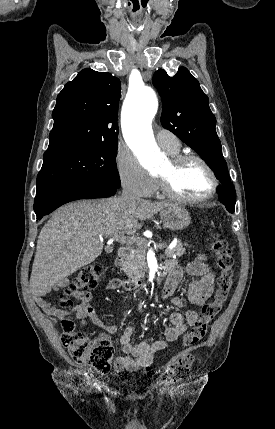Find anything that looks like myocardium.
<instances>
[{
	"instance_id": "obj_1",
	"label": "myocardium",
	"mask_w": 275,
	"mask_h": 429,
	"mask_svg": "<svg viewBox=\"0 0 275 429\" xmlns=\"http://www.w3.org/2000/svg\"><path fill=\"white\" fill-rule=\"evenodd\" d=\"M169 161H170L172 170L175 172L178 171L184 164H186L190 161H196V162L200 163L204 167V169L207 171V173L211 179L212 186H211L209 193L207 195H205L204 197L189 198V197H185V196H182L179 193H177L174 190L172 183H171V180L168 177L158 176V182H159L160 189L166 197H168L172 200H175L177 202H181V203H185V204L198 205V204H203V203L211 200L216 195L218 188H219L218 176H217L215 170L212 168V166L203 157H201L197 154H192V153H182V154L173 155Z\"/></svg>"
}]
</instances>
